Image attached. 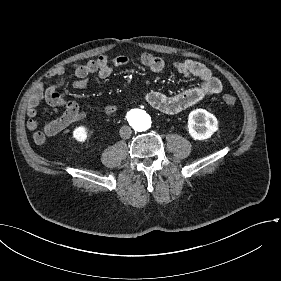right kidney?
Masks as SVG:
<instances>
[{"label":"right kidney","mask_w":281,"mask_h":281,"mask_svg":"<svg viewBox=\"0 0 281 281\" xmlns=\"http://www.w3.org/2000/svg\"><path fill=\"white\" fill-rule=\"evenodd\" d=\"M90 135V131L87 126L81 125L76 127L72 132V137L78 143H86Z\"/></svg>","instance_id":"right-kidney-1"}]
</instances>
